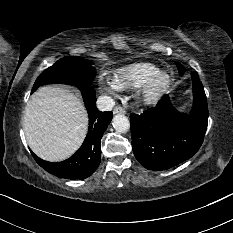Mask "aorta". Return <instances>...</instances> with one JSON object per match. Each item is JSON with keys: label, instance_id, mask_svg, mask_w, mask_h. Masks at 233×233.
<instances>
[{"label": "aorta", "instance_id": "1", "mask_svg": "<svg viewBox=\"0 0 233 233\" xmlns=\"http://www.w3.org/2000/svg\"><path fill=\"white\" fill-rule=\"evenodd\" d=\"M112 124L114 129L119 133H125L130 129L128 118L123 114H117L113 117Z\"/></svg>", "mask_w": 233, "mask_h": 233}]
</instances>
